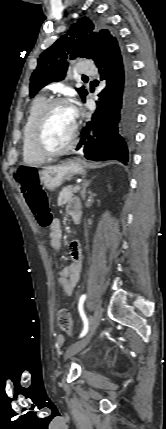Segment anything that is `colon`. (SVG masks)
<instances>
[{"label":"colon","instance_id":"1","mask_svg":"<svg viewBox=\"0 0 166 429\" xmlns=\"http://www.w3.org/2000/svg\"><path fill=\"white\" fill-rule=\"evenodd\" d=\"M14 178L39 225L42 227L51 225L52 215L49 210L47 195L40 184L39 169L32 165L22 166L17 170ZM57 322L62 331L74 336L71 314L67 309H61L58 312Z\"/></svg>","mask_w":166,"mask_h":429}]
</instances>
